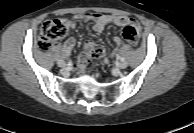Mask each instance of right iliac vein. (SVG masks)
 Returning <instances> with one entry per match:
<instances>
[{"label": "right iliac vein", "mask_w": 194, "mask_h": 133, "mask_svg": "<svg viewBox=\"0 0 194 133\" xmlns=\"http://www.w3.org/2000/svg\"><path fill=\"white\" fill-rule=\"evenodd\" d=\"M57 64H58L59 67H65L66 66V63L63 60H58Z\"/></svg>", "instance_id": "right-iliac-vein-1"}]
</instances>
